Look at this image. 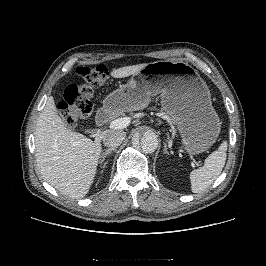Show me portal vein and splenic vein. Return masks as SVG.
<instances>
[{
    "mask_svg": "<svg viewBox=\"0 0 266 266\" xmlns=\"http://www.w3.org/2000/svg\"><path fill=\"white\" fill-rule=\"evenodd\" d=\"M130 124L129 117L118 118L110 122L109 127L111 129H124Z\"/></svg>",
    "mask_w": 266,
    "mask_h": 266,
    "instance_id": "portal-vein-and-splenic-vein-1",
    "label": "portal vein and splenic vein"
}]
</instances>
